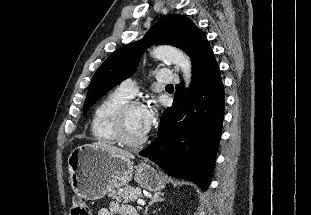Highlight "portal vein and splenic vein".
Masks as SVG:
<instances>
[{
  "label": "portal vein and splenic vein",
  "instance_id": "portal-vein-and-splenic-vein-1",
  "mask_svg": "<svg viewBox=\"0 0 311 215\" xmlns=\"http://www.w3.org/2000/svg\"><path fill=\"white\" fill-rule=\"evenodd\" d=\"M137 204L139 205H145V201L143 199H138Z\"/></svg>",
  "mask_w": 311,
  "mask_h": 215
}]
</instances>
